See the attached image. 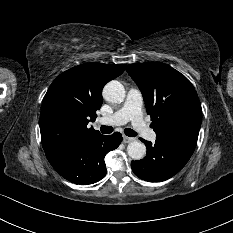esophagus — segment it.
Wrapping results in <instances>:
<instances>
[{"label":"esophagus","instance_id":"34e87169","mask_svg":"<svg viewBox=\"0 0 233 233\" xmlns=\"http://www.w3.org/2000/svg\"><path fill=\"white\" fill-rule=\"evenodd\" d=\"M135 140V138L123 136V143H131Z\"/></svg>","mask_w":233,"mask_h":233}]
</instances>
